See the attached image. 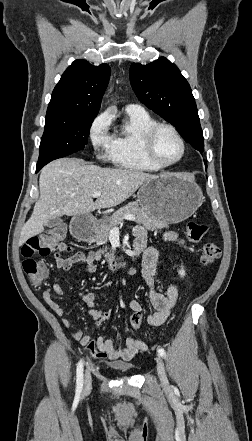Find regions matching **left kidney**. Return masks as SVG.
Segmentation results:
<instances>
[{"mask_svg": "<svg viewBox=\"0 0 252 441\" xmlns=\"http://www.w3.org/2000/svg\"><path fill=\"white\" fill-rule=\"evenodd\" d=\"M179 275H180L181 277H184V276H185V271H184L183 268L179 271Z\"/></svg>", "mask_w": 252, "mask_h": 441, "instance_id": "1", "label": "left kidney"}]
</instances>
